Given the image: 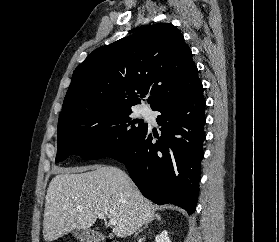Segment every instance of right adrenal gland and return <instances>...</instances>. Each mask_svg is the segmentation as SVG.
<instances>
[{
	"mask_svg": "<svg viewBox=\"0 0 279 242\" xmlns=\"http://www.w3.org/2000/svg\"><path fill=\"white\" fill-rule=\"evenodd\" d=\"M154 219H157L158 221H161V216L159 214H154L152 219H150L149 221H147L144 226L138 230V233L143 231V229H145L149 223H151Z\"/></svg>",
	"mask_w": 279,
	"mask_h": 242,
	"instance_id": "obj_1",
	"label": "right adrenal gland"
}]
</instances>
